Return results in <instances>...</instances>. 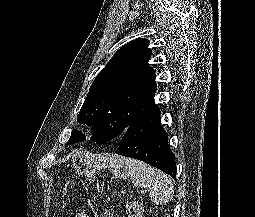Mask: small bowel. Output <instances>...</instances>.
Instances as JSON below:
<instances>
[{
	"label": "small bowel",
	"mask_w": 255,
	"mask_h": 217,
	"mask_svg": "<svg viewBox=\"0 0 255 217\" xmlns=\"http://www.w3.org/2000/svg\"><path fill=\"white\" fill-rule=\"evenodd\" d=\"M75 217H90L87 212H79Z\"/></svg>",
	"instance_id": "small-bowel-1"
}]
</instances>
